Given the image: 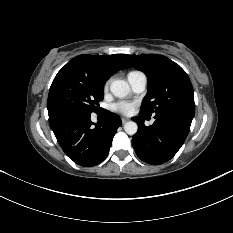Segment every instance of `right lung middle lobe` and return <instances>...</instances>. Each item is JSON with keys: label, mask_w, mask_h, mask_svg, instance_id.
<instances>
[{"label": "right lung middle lobe", "mask_w": 233, "mask_h": 233, "mask_svg": "<svg viewBox=\"0 0 233 233\" xmlns=\"http://www.w3.org/2000/svg\"><path fill=\"white\" fill-rule=\"evenodd\" d=\"M104 84L84 75L57 74L49 90L47 108H73L87 113L98 112Z\"/></svg>", "instance_id": "right-lung-middle-lobe-1"}]
</instances>
